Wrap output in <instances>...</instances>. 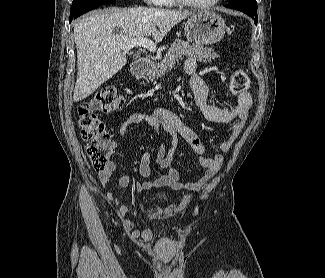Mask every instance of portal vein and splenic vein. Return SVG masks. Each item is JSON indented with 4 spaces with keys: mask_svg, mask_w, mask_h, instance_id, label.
<instances>
[{
    "mask_svg": "<svg viewBox=\"0 0 325 278\" xmlns=\"http://www.w3.org/2000/svg\"><path fill=\"white\" fill-rule=\"evenodd\" d=\"M121 47L125 51H128L133 47H143L153 53L157 49L156 44L147 37L131 39L127 43L123 44Z\"/></svg>",
    "mask_w": 325,
    "mask_h": 278,
    "instance_id": "18ae733b",
    "label": "portal vein and splenic vein"
}]
</instances>
